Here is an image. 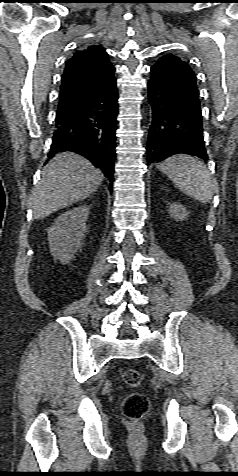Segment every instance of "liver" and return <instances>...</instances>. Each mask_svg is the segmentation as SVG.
Here are the masks:
<instances>
[{
    "label": "liver",
    "instance_id": "6515ba94",
    "mask_svg": "<svg viewBox=\"0 0 238 476\" xmlns=\"http://www.w3.org/2000/svg\"><path fill=\"white\" fill-rule=\"evenodd\" d=\"M103 173L73 152L56 155L44 167L42 178L30 196L34 219H43L94 193Z\"/></svg>",
    "mask_w": 238,
    "mask_h": 476
}]
</instances>
